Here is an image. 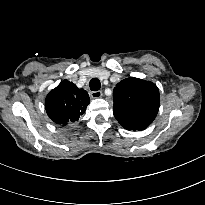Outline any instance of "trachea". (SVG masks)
<instances>
[{
    "mask_svg": "<svg viewBox=\"0 0 205 205\" xmlns=\"http://www.w3.org/2000/svg\"><path fill=\"white\" fill-rule=\"evenodd\" d=\"M89 86L92 91H98L101 88V83L97 78H92Z\"/></svg>",
    "mask_w": 205,
    "mask_h": 205,
    "instance_id": "3493384b",
    "label": "trachea"
}]
</instances>
